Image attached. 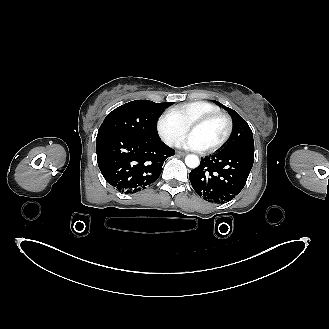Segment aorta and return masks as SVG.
<instances>
[{"label":"aorta","instance_id":"aorta-1","mask_svg":"<svg viewBox=\"0 0 329 329\" xmlns=\"http://www.w3.org/2000/svg\"><path fill=\"white\" fill-rule=\"evenodd\" d=\"M185 164L189 168H197L200 164V160L197 155L189 154L185 157Z\"/></svg>","mask_w":329,"mask_h":329}]
</instances>
